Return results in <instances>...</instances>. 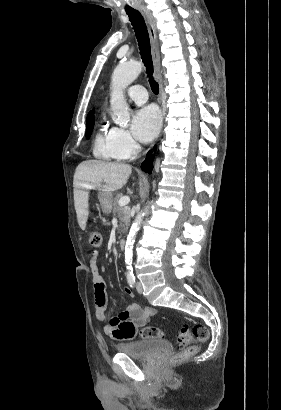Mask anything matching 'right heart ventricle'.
I'll list each match as a JSON object with an SVG mask.
<instances>
[{"mask_svg": "<svg viewBox=\"0 0 281 410\" xmlns=\"http://www.w3.org/2000/svg\"><path fill=\"white\" fill-rule=\"evenodd\" d=\"M93 154L96 158L106 161H120L126 159L118 149L113 128L105 119H101L93 138Z\"/></svg>", "mask_w": 281, "mask_h": 410, "instance_id": "right-heart-ventricle-1", "label": "right heart ventricle"}]
</instances>
